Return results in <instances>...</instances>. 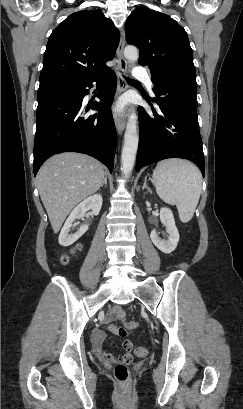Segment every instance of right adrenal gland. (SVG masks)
<instances>
[{"instance_id": "2a0ac1e0", "label": "right adrenal gland", "mask_w": 243, "mask_h": 409, "mask_svg": "<svg viewBox=\"0 0 243 409\" xmlns=\"http://www.w3.org/2000/svg\"><path fill=\"white\" fill-rule=\"evenodd\" d=\"M104 185H107V175H106V174H105V176H104V180H103V182H102V184H101L100 187H103Z\"/></svg>"}]
</instances>
